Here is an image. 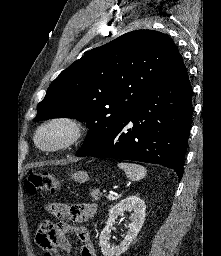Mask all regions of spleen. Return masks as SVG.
Here are the masks:
<instances>
[{
  "label": "spleen",
  "mask_w": 221,
  "mask_h": 256,
  "mask_svg": "<svg viewBox=\"0 0 221 256\" xmlns=\"http://www.w3.org/2000/svg\"><path fill=\"white\" fill-rule=\"evenodd\" d=\"M118 167L122 169L126 176L132 181H139L146 175V169L138 164L118 163Z\"/></svg>",
  "instance_id": "obj_1"
}]
</instances>
